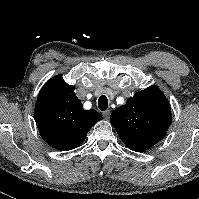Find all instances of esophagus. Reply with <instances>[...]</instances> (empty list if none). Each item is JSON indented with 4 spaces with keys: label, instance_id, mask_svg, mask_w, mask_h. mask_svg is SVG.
Instances as JSON below:
<instances>
[{
    "label": "esophagus",
    "instance_id": "obj_1",
    "mask_svg": "<svg viewBox=\"0 0 199 199\" xmlns=\"http://www.w3.org/2000/svg\"><path fill=\"white\" fill-rule=\"evenodd\" d=\"M102 114H103L104 118L108 119L109 116H110V111H109V110H106V111H104Z\"/></svg>",
    "mask_w": 199,
    "mask_h": 199
}]
</instances>
